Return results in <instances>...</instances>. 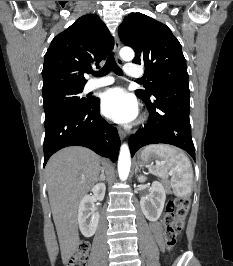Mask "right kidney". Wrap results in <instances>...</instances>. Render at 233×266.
Listing matches in <instances>:
<instances>
[{
  "instance_id": "1",
  "label": "right kidney",
  "mask_w": 233,
  "mask_h": 266,
  "mask_svg": "<svg viewBox=\"0 0 233 266\" xmlns=\"http://www.w3.org/2000/svg\"><path fill=\"white\" fill-rule=\"evenodd\" d=\"M105 184H97L92 188L94 196H84L79 204L78 209V223L81 233L85 237H91L95 234L100 215L94 210L93 199L96 197L102 200L105 195Z\"/></svg>"
}]
</instances>
